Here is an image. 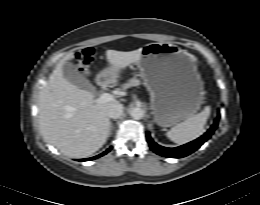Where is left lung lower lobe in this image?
<instances>
[{
  "mask_svg": "<svg viewBox=\"0 0 260 205\" xmlns=\"http://www.w3.org/2000/svg\"><path fill=\"white\" fill-rule=\"evenodd\" d=\"M220 118V115H218L217 119L214 121V124L211 126V128L200 138L187 143L185 145H182L180 147L176 148H167L160 146L156 144L149 133L146 134L147 141L150 145V148L157 154L164 156V157H169V158H181L185 157L195 150H197L205 141H207L211 135L213 134L214 130L216 129L218 125V120Z\"/></svg>",
  "mask_w": 260,
  "mask_h": 205,
  "instance_id": "left-lung-lower-lobe-1",
  "label": "left lung lower lobe"
}]
</instances>
